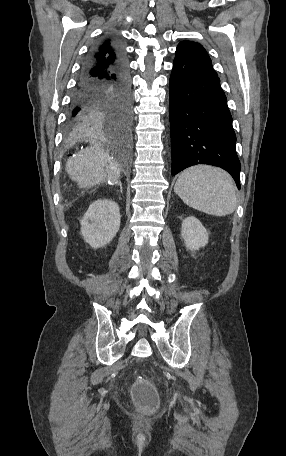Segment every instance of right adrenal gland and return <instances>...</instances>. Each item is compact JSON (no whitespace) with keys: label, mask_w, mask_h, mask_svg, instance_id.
Here are the masks:
<instances>
[{"label":"right adrenal gland","mask_w":286,"mask_h":456,"mask_svg":"<svg viewBox=\"0 0 286 456\" xmlns=\"http://www.w3.org/2000/svg\"><path fill=\"white\" fill-rule=\"evenodd\" d=\"M119 186H120V191H121V193H122V185H121V184H119Z\"/></svg>","instance_id":"right-adrenal-gland-1"}]
</instances>
